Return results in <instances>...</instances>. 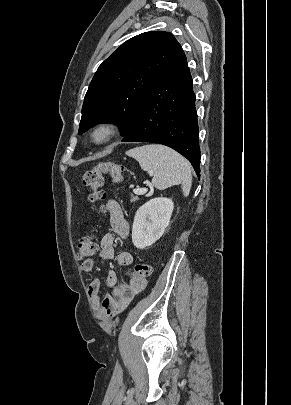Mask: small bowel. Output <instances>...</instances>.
I'll list each match as a JSON object with an SVG mask.
<instances>
[{"instance_id": "c3829d8e", "label": "small bowel", "mask_w": 291, "mask_h": 405, "mask_svg": "<svg viewBox=\"0 0 291 405\" xmlns=\"http://www.w3.org/2000/svg\"><path fill=\"white\" fill-rule=\"evenodd\" d=\"M106 210L109 213L112 233L105 234L100 241V256L103 259L114 257L115 234L127 238L130 233V226L123 216L120 204L109 199L106 202ZM117 262L120 266H129L133 263V256L128 251H121L117 255ZM95 268L93 259L84 261L81 265L83 272H92ZM105 285L113 288V294L100 297V281L93 279L88 285V295L92 302L93 310L100 320H109L111 317L122 311L131 302L135 295L146 287L145 280L130 281L128 284H120L114 270H110L105 278Z\"/></svg>"}]
</instances>
